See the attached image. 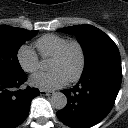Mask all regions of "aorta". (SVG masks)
Segmentation results:
<instances>
[{
    "mask_svg": "<svg viewBox=\"0 0 128 128\" xmlns=\"http://www.w3.org/2000/svg\"><path fill=\"white\" fill-rule=\"evenodd\" d=\"M42 64L44 65V61H42ZM50 102L52 107L61 110L67 105V97L62 92H55L52 94Z\"/></svg>",
    "mask_w": 128,
    "mask_h": 128,
    "instance_id": "aorta-1",
    "label": "aorta"
}]
</instances>
